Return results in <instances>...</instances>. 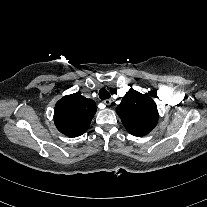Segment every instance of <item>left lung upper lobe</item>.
I'll list each match as a JSON object with an SVG mask.
<instances>
[{
  "mask_svg": "<svg viewBox=\"0 0 207 207\" xmlns=\"http://www.w3.org/2000/svg\"><path fill=\"white\" fill-rule=\"evenodd\" d=\"M127 131L134 136L148 134L157 124V106L149 95L133 89L126 93L116 108Z\"/></svg>",
  "mask_w": 207,
  "mask_h": 207,
  "instance_id": "left-lung-upper-lobe-1",
  "label": "left lung upper lobe"
}]
</instances>
